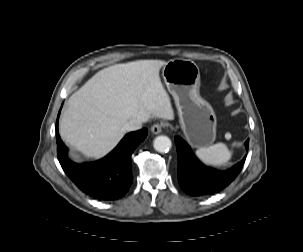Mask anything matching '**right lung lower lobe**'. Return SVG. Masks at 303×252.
<instances>
[{
  "label": "right lung lower lobe",
  "mask_w": 303,
  "mask_h": 252,
  "mask_svg": "<svg viewBox=\"0 0 303 252\" xmlns=\"http://www.w3.org/2000/svg\"><path fill=\"white\" fill-rule=\"evenodd\" d=\"M56 122L57 155L59 162L74 184L84 193L100 200H115L129 190L132 177L131 154L146 138L147 129L127 134L118 146L101 160L78 165L67 157V148L58 132Z\"/></svg>",
  "instance_id": "1"
}]
</instances>
